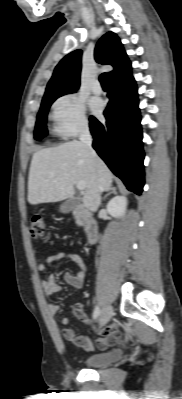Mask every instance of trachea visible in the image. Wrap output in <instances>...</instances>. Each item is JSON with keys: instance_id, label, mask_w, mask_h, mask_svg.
<instances>
[{"instance_id": "obj_1", "label": "trachea", "mask_w": 182, "mask_h": 399, "mask_svg": "<svg viewBox=\"0 0 182 399\" xmlns=\"http://www.w3.org/2000/svg\"><path fill=\"white\" fill-rule=\"evenodd\" d=\"M99 80L101 82V85L103 88H108L109 87V77L106 73H103L100 75Z\"/></svg>"}]
</instances>
